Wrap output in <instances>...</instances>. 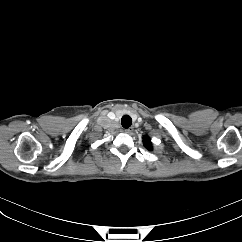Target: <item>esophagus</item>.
I'll use <instances>...</instances> for the list:
<instances>
[{
  "instance_id": "34e87169",
  "label": "esophagus",
  "mask_w": 242,
  "mask_h": 242,
  "mask_svg": "<svg viewBox=\"0 0 242 242\" xmlns=\"http://www.w3.org/2000/svg\"><path fill=\"white\" fill-rule=\"evenodd\" d=\"M133 130H134L133 127L127 128V129H125V133L131 134L133 132Z\"/></svg>"
}]
</instances>
